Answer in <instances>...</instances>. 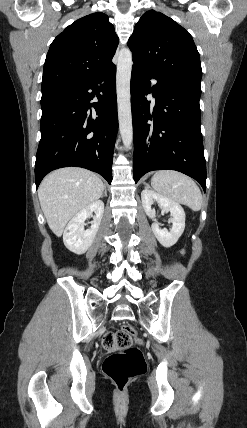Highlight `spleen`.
I'll list each match as a JSON object with an SVG mask.
<instances>
[{
	"mask_svg": "<svg viewBox=\"0 0 247 428\" xmlns=\"http://www.w3.org/2000/svg\"><path fill=\"white\" fill-rule=\"evenodd\" d=\"M152 187L162 196L188 206L193 211L202 207V194L187 175L174 170H160L151 179Z\"/></svg>",
	"mask_w": 247,
	"mask_h": 428,
	"instance_id": "3e777b00",
	"label": "spleen"
}]
</instances>
